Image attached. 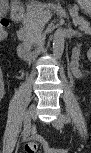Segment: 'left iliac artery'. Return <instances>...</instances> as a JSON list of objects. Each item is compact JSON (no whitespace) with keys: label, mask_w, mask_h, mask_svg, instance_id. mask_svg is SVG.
<instances>
[{"label":"left iliac artery","mask_w":91,"mask_h":153,"mask_svg":"<svg viewBox=\"0 0 91 153\" xmlns=\"http://www.w3.org/2000/svg\"><path fill=\"white\" fill-rule=\"evenodd\" d=\"M61 118L63 120L64 123H69V118L66 115H61Z\"/></svg>","instance_id":"44dca946"}]
</instances>
